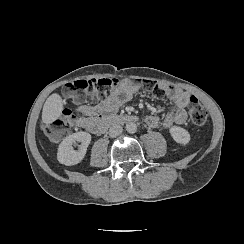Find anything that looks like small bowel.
<instances>
[{
    "instance_id": "1",
    "label": "small bowel",
    "mask_w": 244,
    "mask_h": 244,
    "mask_svg": "<svg viewBox=\"0 0 244 244\" xmlns=\"http://www.w3.org/2000/svg\"><path fill=\"white\" fill-rule=\"evenodd\" d=\"M161 87L173 106L163 118L157 115H148L145 119L147 125L158 127L162 124L165 129H171L175 125L184 124L187 119L186 108L194 96L177 86L164 84ZM140 89L138 83L124 81L113 87L109 96L100 103L94 106L79 105L76 109L78 113L76 125L93 134L100 135L104 119L114 114L124 103L130 101ZM96 94L98 95V93Z\"/></svg>"
}]
</instances>
